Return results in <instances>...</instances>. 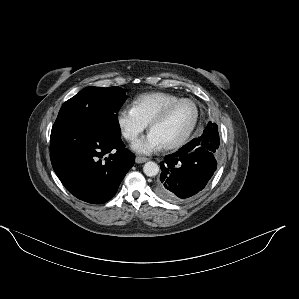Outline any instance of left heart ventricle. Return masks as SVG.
<instances>
[{
	"label": "left heart ventricle",
	"mask_w": 299,
	"mask_h": 299,
	"mask_svg": "<svg viewBox=\"0 0 299 299\" xmlns=\"http://www.w3.org/2000/svg\"><path fill=\"white\" fill-rule=\"evenodd\" d=\"M195 109L191 103L184 102L174 108L168 117L151 130L162 146L179 139L191 126Z\"/></svg>",
	"instance_id": "obj_1"
}]
</instances>
